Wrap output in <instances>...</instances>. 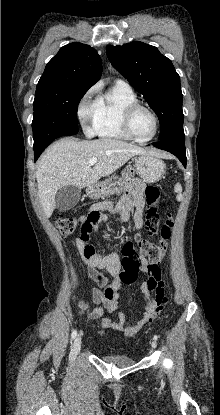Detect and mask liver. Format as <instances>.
<instances>
[{
	"label": "liver",
	"instance_id": "liver-1",
	"mask_svg": "<svg viewBox=\"0 0 220 415\" xmlns=\"http://www.w3.org/2000/svg\"><path fill=\"white\" fill-rule=\"evenodd\" d=\"M151 151L120 140L101 138L77 141L64 138L52 144L41 156L36 179L38 195L46 217L53 213L57 191L68 185L89 187L122 167L135 155H152ZM97 163L89 164L91 158Z\"/></svg>",
	"mask_w": 220,
	"mask_h": 415
}]
</instances>
